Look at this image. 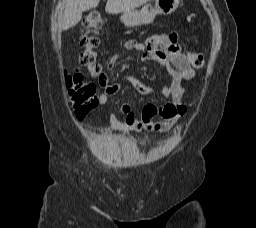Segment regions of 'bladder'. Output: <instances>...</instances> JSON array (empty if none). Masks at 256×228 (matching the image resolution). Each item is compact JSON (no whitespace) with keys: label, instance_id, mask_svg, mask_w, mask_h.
I'll list each match as a JSON object with an SVG mask.
<instances>
[{"label":"bladder","instance_id":"bladder-1","mask_svg":"<svg viewBox=\"0 0 256 228\" xmlns=\"http://www.w3.org/2000/svg\"><path fill=\"white\" fill-rule=\"evenodd\" d=\"M133 149V142L124 136H109L101 142V151L106 156L125 154Z\"/></svg>","mask_w":256,"mask_h":228}]
</instances>
